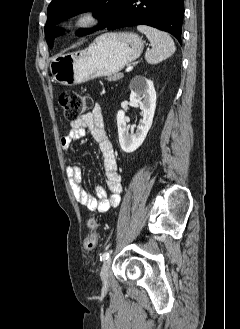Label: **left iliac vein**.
I'll return each mask as SVG.
<instances>
[{
    "label": "left iliac vein",
    "mask_w": 240,
    "mask_h": 329,
    "mask_svg": "<svg viewBox=\"0 0 240 329\" xmlns=\"http://www.w3.org/2000/svg\"><path fill=\"white\" fill-rule=\"evenodd\" d=\"M110 269H111V260L107 259L104 261L101 269V280L104 285H108L110 282Z\"/></svg>",
    "instance_id": "left-iliac-vein-1"
}]
</instances>
